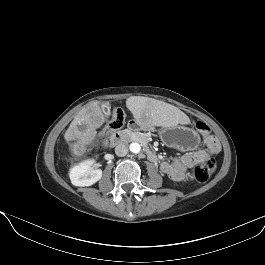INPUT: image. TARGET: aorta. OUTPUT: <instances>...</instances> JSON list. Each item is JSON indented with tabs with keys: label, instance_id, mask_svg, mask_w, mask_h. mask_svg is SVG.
I'll return each mask as SVG.
<instances>
[{
	"label": "aorta",
	"instance_id": "obj_1",
	"mask_svg": "<svg viewBox=\"0 0 265 265\" xmlns=\"http://www.w3.org/2000/svg\"><path fill=\"white\" fill-rule=\"evenodd\" d=\"M130 151L134 154H138L141 151V145L137 142H133L129 147Z\"/></svg>",
	"mask_w": 265,
	"mask_h": 265
}]
</instances>
